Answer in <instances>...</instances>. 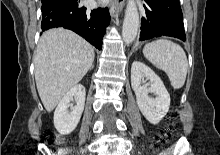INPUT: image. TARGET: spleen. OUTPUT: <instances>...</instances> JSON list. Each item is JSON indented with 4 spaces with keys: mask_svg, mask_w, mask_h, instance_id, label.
Here are the masks:
<instances>
[{
    "mask_svg": "<svg viewBox=\"0 0 220 155\" xmlns=\"http://www.w3.org/2000/svg\"><path fill=\"white\" fill-rule=\"evenodd\" d=\"M145 58L156 68L163 70L174 89L183 87L188 70V61L183 48L168 39H158L145 45Z\"/></svg>",
    "mask_w": 220,
    "mask_h": 155,
    "instance_id": "3e777b00",
    "label": "spleen"
}]
</instances>
